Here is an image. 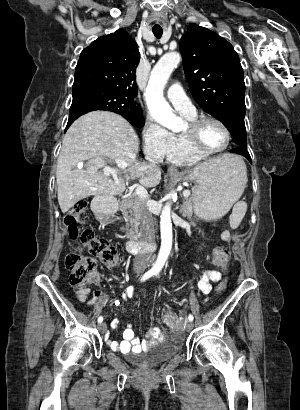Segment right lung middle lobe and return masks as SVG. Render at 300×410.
<instances>
[{
    "instance_id": "1",
    "label": "right lung middle lobe",
    "mask_w": 300,
    "mask_h": 410,
    "mask_svg": "<svg viewBox=\"0 0 300 410\" xmlns=\"http://www.w3.org/2000/svg\"><path fill=\"white\" fill-rule=\"evenodd\" d=\"M73 100L69 112L67 127L81 115L94 110H107L118 113L132 125L143 127L145 124L142 111L125 114L123 99L115 93L92 84L73 85Z\"/></svg>"
}]
</instances>
